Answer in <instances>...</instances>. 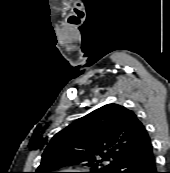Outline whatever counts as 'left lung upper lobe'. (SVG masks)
I'll list each match as a JSON object with an SVG mask.
<instances>
[{"instance_id": "left-lung-upper-lobe-1", "label": "left lung upper lobe", "mask_w": 170, "mask_h": 173, "mask_svg": "<svg viewBox=\"0 0 170 173\" xmlns=\"http://www.w3.org/2000/svg\"><path fill=\"white\" fill-rule=\"evenodd\" d=\"M150 143L133 111L107 104L54 135L35 173H56L60 167L80 162H87L89 173H113L127 155Z\"/></svg>"}]
</instances>
